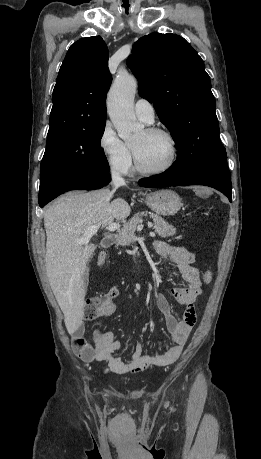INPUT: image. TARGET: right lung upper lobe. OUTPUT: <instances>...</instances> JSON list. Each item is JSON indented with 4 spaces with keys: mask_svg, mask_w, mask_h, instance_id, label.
<instances>
[{
    "mask_svg": "<svg viewBox=\"0 0 261 459\" xmlns=\"http://www.w3.org/2000/svg\"><path fill=\"white\" fill-rule=\"evenodd\" d=\"M108 57L101 37L71 45L53 90L48 135L106 122V94L112 81Z\"/></svg>",
    "mask_w": 261,
    "mask_h": 459,
    "instance_id": "right-lung-upper-lobe-1",
    "label": "right lung upper lobe"
}]
</instances>
